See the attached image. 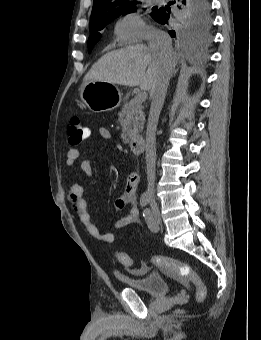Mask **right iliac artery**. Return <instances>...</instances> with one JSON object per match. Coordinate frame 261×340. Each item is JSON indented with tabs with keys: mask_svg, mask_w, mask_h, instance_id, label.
<instances>
[{
	"mask_svg": "<svg viewBox=\"0 0 261 340\" xmlns=\"http://www.w3.org/2000/svg\"><path fill=\"white\" fill-rule=\"evenodd\" d=\"M148 201H149L148 195L146 193L142 194L140 198V205L144 207L147 205Z\"/></svg>",
	"mask_w": 261,
	"mask_h": 340,
	"instance_id": "obj_1",
	"label": "right iliac artery"
}]
</instances>
